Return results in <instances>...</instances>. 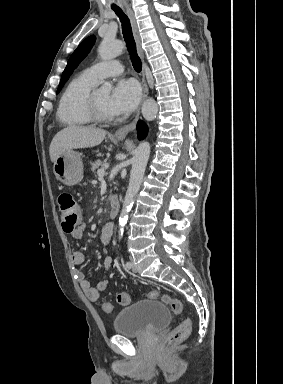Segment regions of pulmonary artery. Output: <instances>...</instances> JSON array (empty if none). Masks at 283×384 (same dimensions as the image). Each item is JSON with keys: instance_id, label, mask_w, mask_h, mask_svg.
<instances>
[{"instance_id": "pulmonary-artery-1", "label": "pulmonary artery", "mask_w": 283, "mask_h": 384, "mask_svg": "<svg viewBox=\"0 0 283 384\" xmlns=\"http://www.w3.org/2000/svg\"><path fill=\"white\" fill-rule=\"evenodd\" d=\"M122 65L121 62L115 64L114 61H101L86 69L85 73L91 80L97 83L107 76L120 75L123 72Z\"/></svg>"}]
</instances>
